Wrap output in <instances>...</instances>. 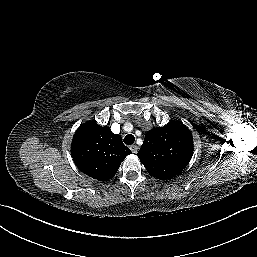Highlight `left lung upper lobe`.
Returning a JSON list of instances; mask_svg holds the SVG:
<instances>
[{
	"label": "left lung upper lobe",
	"mask_w": 257,
	"mask_h": 257,
	"mask_svg": "<svg viewBox=\"0 0 257 257\" xmlns=\"http://www.w3.org/2000/svg\"><path fill=\"white\" fill-rule=\"evenodd\" d=\"M192 154V134L177 122L148 131L137 153L149 174L158 179L178 175L188 165Z\"/></svg>",
	"instance_id": "left-lung-upper-lobe-1"
}]
</instances>
